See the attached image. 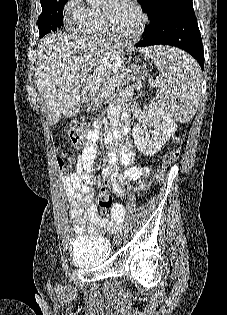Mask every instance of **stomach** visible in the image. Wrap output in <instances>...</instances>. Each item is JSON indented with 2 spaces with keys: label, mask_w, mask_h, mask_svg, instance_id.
<instances>
[{
  "label": "stomach",
  "mask_w": 227,
  "mask_h": 315,
  "mask_svg": "<svg viewBox=\"0 0 227 315\" xmlns=\"http://www.w3.org/2000/svg\"><path fill=\"white\" fill-rule=\"evenodd\" d=\"M122 57L119 54H115L112 56L111 66L110 68H96L95 71H91L90 76L94 82H114L116 77L114 74L116 70L120 67ZM94 82H90L88 86L84 87L82 92V99L89 100V92L88 91H95L97 86Z\"/></svg>",
  "instance_id": "0dacf381"
}]
</instances>
